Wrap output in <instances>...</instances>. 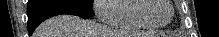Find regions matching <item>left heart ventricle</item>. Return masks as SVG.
I'll return each instance as SVG.
<instances>
[{"instance_id": "1", "label": "left heart ventricle", "mask_w": 219, "mask_h": 37, "mask_svg": "<svg viewBox=\"0 0 219 37\" xmlns=\"http://www.w3.org/2000/svg\"><path fill=\"white\" fill-rule=\"evenodd\" d=\"M145 16L152 22L162 23L169 19L171 9L166 0H148Z\"/></svg>"}]
</instances>
